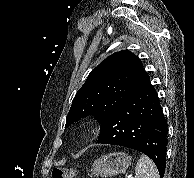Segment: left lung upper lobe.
Wrapping results in <instances>:
<instances>
[{
	"mask_svg": "<svg viewBox=\"0 0 194 178\" xmlns=\"http://www.w3.org/2000/svg\"><path fill=\"white\" fill-rule=\"evenodd\" d=\"M149 86L140 59L128 50L116 52L90 72L73 99L65 127L89 115L101 124L120 103Z\"/></svg>",
	"mask_w": 194,
	"mask_h": 178,
	"instance_id": "1",
	"label": "left lung upper lobe"
}]
</instances>
